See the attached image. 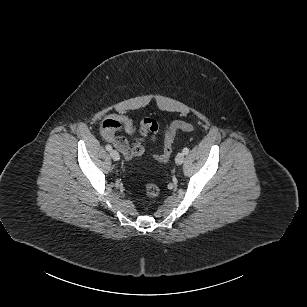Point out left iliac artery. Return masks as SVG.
<instances>
[{"label":"left iliac artery","mask_w":307,"mask_h":307,"mask_svg":"<svg viewBox=\"0 0 307 307\" xmlns=\"http://www.w3.org/2000/svg\"><path fill=\"white\" fill-rule=\"evenodd\" d=\"M183 153H184L185 155L188 154V153H189V148L185 147V148L183 149Z\"/></svg>","instance_id":"1"}]
</instances>
